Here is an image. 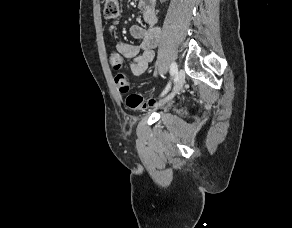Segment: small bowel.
<instances>
[{
  "label": "small bowel",
  "instance_id": "small-bowel-1",
  "mask_svg": "<svg viewBox=\"0 0 292 228\" xmlns=\"http://www.w3.org/2000/svg\"><path fill=\"white\" fill-rule=\"evenodd\" d=\"M138 6L144 25H134L129 32L132 37L141 39L140 45L119 42L115 51L120 55L121 59H132L130 69L135 76L142 75L153 61L160 34L154 0H139ZM111 28L114 29L115 26Z\"/></svg>",
  "mask_w": 292,
  "mask_h": 228
}]
</instances>
